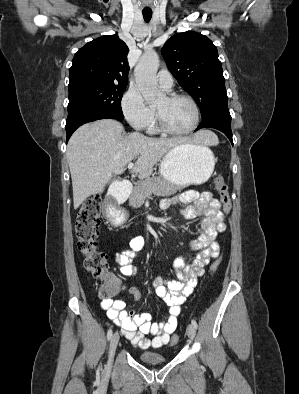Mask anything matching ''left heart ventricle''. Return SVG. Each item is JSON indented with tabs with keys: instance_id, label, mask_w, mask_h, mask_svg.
Returning a JSON list of instances; mask_svg holds the SVG:
<instances>
[{
	"instance_id": "b2bd125f",
	"label": "left heart ventricle",
	"mask_w": 299,
	"mask_h": 394,
	"mask_svg": "<svg viewBox=\"0 0 299 394\" xmlns=\"http://www.w3.org/2000/svg\"><path fill=\"white\" fill-rule=\"evenodd\" d=\"M155 108L162 114L166 123L175 130H186L194 123V109L187 100L170 101L164 96L156 103Z\"/></svg>"
}]
</instances>
